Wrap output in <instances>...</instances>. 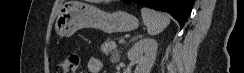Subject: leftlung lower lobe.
<instances>
[{"instance_id": "left-lung-lower-lobe-1", "label": "left lung lower lobe", "mask_w": 244, "mask_h": 73, "mask_svg": "<svg viewBox=\"0 0 244 73\" xmlns=\"http://www.w3.org/2000/svg\"><path fill=\"white\" fill-rule=\"evenodd\" d=\"M171 14L182 28L187 21L194 0H125Z\"/></svg>"}]
</instances>
